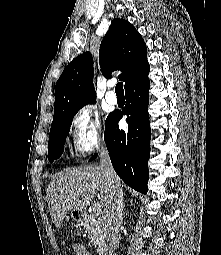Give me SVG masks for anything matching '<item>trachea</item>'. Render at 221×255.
<instances>
[{
	"label": "trachea",
	"mask_w": 221,
	"mask_h": 255,
	"mask_svg": "<svg viewBox=\"0 0 221 255\" xmlns=\"http://www.w3.org/2000/svg\"><path fill=\"white\" fill-rule=\"evenodd\" d=\"M115 92H116L117 94H124V89H123V83H122V82H120V83H118V84L116 85V87H115Z\"/></svg>",
	"instance_id": "trachea-1"
}]
</instances>
